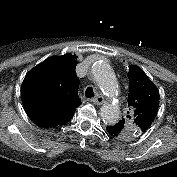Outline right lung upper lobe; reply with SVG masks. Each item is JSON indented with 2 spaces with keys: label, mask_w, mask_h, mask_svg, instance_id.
<instances>
[{
  "label": "right lung upper lobe",
  "mask_w": 177,
  "mask_h": 177,
  "mask_svg": "<svg viewBox=\"0 0 177 177\" xmlns=\"http://www.w3.org/2000/svg\"><path fill=\"white\" fill-rule=\"evenodd\" d=\"M76 59L71 54L52 56L26 74L21 97L26 113L36 125L56 127L73 118L81 104Z\"/></svg>",
  "instance_id": "right-lung-upper-lobe-1"
}]
</instances>
